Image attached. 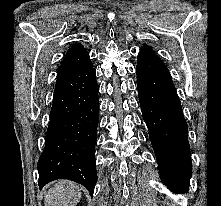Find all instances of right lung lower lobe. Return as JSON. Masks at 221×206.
Here are the masks:
<instances>
[{"label": "right lung lower lobe", "mask_w": 221, "mask_h": 206, "mask_svg": "<svg viewBox=\"0 0 221 206\" xmlns=\"http://www.w3.org/2000/svg\"><path fill=\"white\" fill-rule=\"evenodd\" d=\"M99 87L91 61L56 81L45 147L38 161L39 187L75 181L93 194Z\"/></svg>", "instance_id": "right-lung-lower-lobe-1"}]
</instances>
